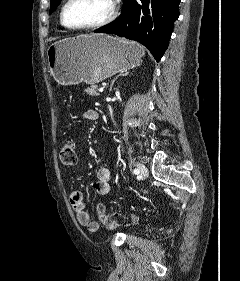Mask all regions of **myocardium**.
<instances>
[{
	"label": "myocardium",
	"mask_w": 240,
	"mask_h": 281,
	"mask_svg": "<svg viewBox=\"0 0 240 281\" xmlns=\"http://www.w3.org/2000/svg\"><path fill=\"white\" fill-rule=\"evenodd\" d=\"M70 2H71V0H66L60 11V22L65 28H67L69 30H87V29L99 28V27L105 26V25L109 24L111 21H113L117 14L116 2H115V0H110L111 9H110L109 14L105 18H103L102 20L97 21L95 23H91V24H86V25H81V26H71L66 23L65 17H64L66 7L68 6V4Z\"/></svg>",
	"instance_id": "f54148a6"
}]
</instances>
